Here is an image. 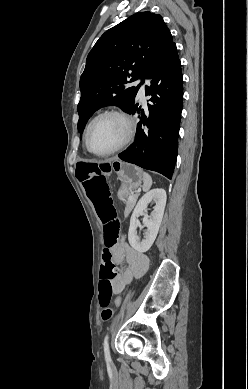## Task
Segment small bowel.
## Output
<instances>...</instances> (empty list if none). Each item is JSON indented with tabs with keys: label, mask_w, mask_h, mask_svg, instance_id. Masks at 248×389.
I'll return each instance as SVG.
<instances>
[{
	"label": "small bowel",
	"mask_w": 248,
	"mask_h": 389,
	"mask_svg": "<svg viewBox=\"0 0 248 389\" xmlns=\"http://www.w3.org/2000/svg\"><path fill=\"white\" fill-rule=\"evenodd\" d=\"M110 252L114 262L121 266L119 274L112 282L113 293L120 294L134 278H140L146 273L149 260L145 254L132 248L125 240L114 245ZM124 263L128 264L127 268L122 267Z\"/></svg>",
	"instance_id": "1"
}]
</instances>
